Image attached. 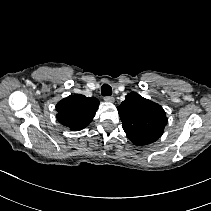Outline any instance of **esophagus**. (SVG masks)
Wrapping results in <instances>:
<instances>
[{
    "instance_id": "esophagus-1",
    "label": "esophagus",
    "mask_w": 211,
    "mask_h": 211,
    "mask_svg": "<svg viewBox=\"0 0 211 211\" xmlns=\"http://www.w3.org/2000/svg\"><path fill=\"white\" fill-rule=\"evenodd\" d=\"M104 100H105L106 102H114V101H115V99H114L113 96H105V97H104Z\"/></svg>"
}]
</instances>
